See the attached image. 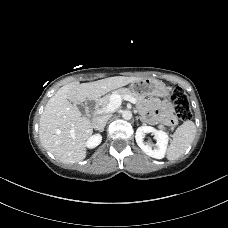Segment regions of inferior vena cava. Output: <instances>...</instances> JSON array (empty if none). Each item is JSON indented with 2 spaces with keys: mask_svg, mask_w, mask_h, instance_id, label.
<instances>
[{
  "mask_svg": "<svg viewBox=\"0 0 228 228\" xmlns=\"http://www.w3.org/2000/svg\"><path fill=\"white\" fill-rule=\"evenodd\" d=\"M109 118L110 115H104L94 118L92 120L93 128L96 130H103Z\"/></svg>",
  "mask_w": 228,
  "mask_h": 228,
  "instance_id": "obj_1",
  "label": "inferior vena cava"
}]
</instances>
